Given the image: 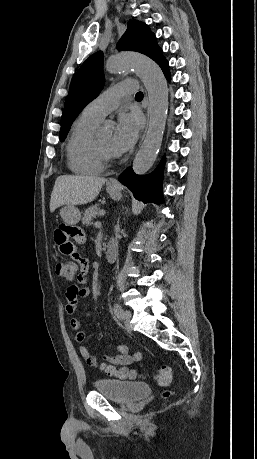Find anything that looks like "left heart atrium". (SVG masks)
Segmentation results:
<instances>
[{"mask_svg":"<svg viewBox=\"0 0 257 459\" xmlns=\"http://www.w3.org/2000/svg\"><path fill=\"white\" fill-rule=\"evenodd\" d=\"M140 128L141 119L137 114L120 116L113 134L114 154L121 155L132 148L138 138Z\"/></svg>","mask_w":257,"mask_h":459,"instance_id":"obj_1","label":"left heart atrium"}]
</instances>
